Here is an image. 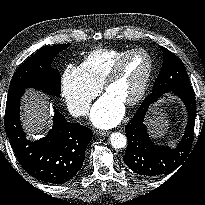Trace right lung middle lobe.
Instances as JSON below:
<instances>
[{
	"label": "right lung middle lobe",
	"instance_id": "dd1d6c3e",
	"mask_svg": "<svg viewBox=\"0 0 205 205\" xmlns=\"http://www.w3.org/2000/svg\"><path fill=\"white\" fill-rule=\"evenodd\" d=\"M70 44L41 47L31 58L25 61L14 73L9 92L25 88L41 89L48 95L59 96L60 74L51 67L52 59Z\"/></svg>",
	"mask_w": 205,
	"mask_h": 205
}]
</instances>
